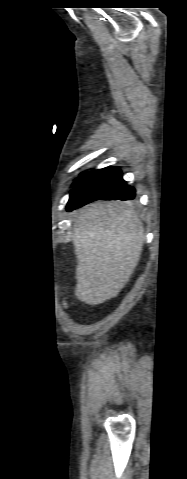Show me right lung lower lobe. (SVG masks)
I'll use <instances>...</instances> for the list:
<instances>
[{
  "mask_svg": "<svg viewBox=\"0 0 187 479\" xmlns=\"http://www.w3.org/2000/svg\"><path fill=\"white\" fill-rule=\"evenodd\" d=\"M135 189L126 184L118 168H104L81 177L70 192L67 210L72 211L98 199L132 200Z\"/></svg>",
  "mask_w": 187,
  "mask_h": 479,
  "instance_id": "98d812e1",
  "label": "right lung lower lobe"
}]
</instances>
